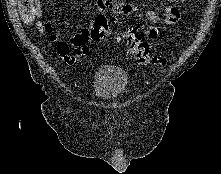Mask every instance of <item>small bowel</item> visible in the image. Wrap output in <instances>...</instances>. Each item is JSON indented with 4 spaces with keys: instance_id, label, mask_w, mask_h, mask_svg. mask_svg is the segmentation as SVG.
I'll return each instance as SVG.
<instances>
[{
    "instance_id": "c3829d8e",
    "label": "small bowel",
    "mask_w": 221,
    "mask_h": 174,
    "mask_svg": "<svg viewBox=\"0 0 221 174\" xmlns=\"http://www.w3.org/2000/svg\"><path fill=\"white\" fill-rule=\"evenodd\" d=\"M177 2H182L184 0H174ZM97 13L99 15H105V12L109 9L119 15H136L139 13L140 9L137 5L132 3H125L119 0H97L95 3ZM40 16V11L38 17ZM148 25L145 27L144 32L148 39H153L157 36L158 29L157 26L160 24L173 25L178 22L180 18L179 9L175 5H168L164 9V16H160L154 10H148L145 13ZM37 30L47 36L50 41L56 43L57 52L60 57L69 65L74 64L80 57L88 54V47L86 45L87 41L81 40V33L75 34L70 37L69 42L58 40L56 34L52 30V26L49 22H44L38 20L36 22ZM75 49L71 52L70 48Z\"/></svg>"
}]
</instances>
